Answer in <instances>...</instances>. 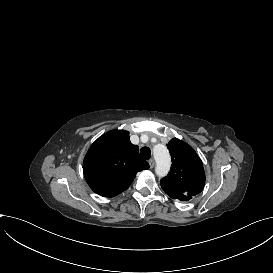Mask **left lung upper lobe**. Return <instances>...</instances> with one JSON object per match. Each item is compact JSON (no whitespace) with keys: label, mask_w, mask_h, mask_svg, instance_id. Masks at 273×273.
Listing matches in <instances>:
<instances>
[{"label":"left lung upper lobe","mask_w":273,"mask_h":273,"mask_svg":"<svg viewBox=\"0 0 273 273\" xmlns=\"http://www.w3.org/2000/svg\"><path fill=\"white\" fill-rule=\"evenodd\" d=\"M167 147L172 166L168 175L161 179V187L173 199L189 200L205 185L202 161L191 146L179 139H172Z\"/></svg>","instance_id":"obj_1"}]
</instances>
